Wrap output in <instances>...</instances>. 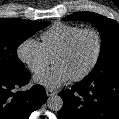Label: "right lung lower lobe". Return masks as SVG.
I'll list each match as a JSON object with an SVG mask.
<instances>
[{
	"label": "right lung lower lobe",
	"mask_w": 119,
	"mask_h": 119,
	"mask_svg": "<svg viewBox=\"0 0 119 119\" xmlns=\"http://www.w3.org/2000/svg\"><path fill=\"white\" fill-rule=\"evenodd\" d=\"M27 69L19 74L0 76V119H28L46 100L44 87L34 85L28 91L15 92L28 83Z\"/></svg>",
	"instance_id": "1"
}]
</instances>
